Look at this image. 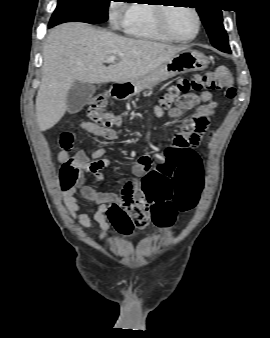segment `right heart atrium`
<instances>
[{
    "mask_svg": "<svg viewBox=\"0 0 270 338\" xmlns=\"http://www.w3.org/2000/svg\"><path fill=\"white\" fill-rule=\"evenodd\" d=\"M109 16L114 27L123 26L128 19V8L124 5L114 4L110 8Z\"/></svg>",
    "mask_w": 270,
    "mask_h": 338,
    "instance_id": "obj_1",
    "label": "right heart atrium"
}]
</instances>
